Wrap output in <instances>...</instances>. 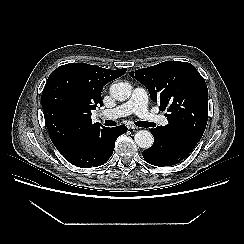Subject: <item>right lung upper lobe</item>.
I'll use <instances>...</instances> for the list:
<instances>
[{
    "mask_svg": "<svg viewBox=\"0 0 244 244\" xmlns=\"http://www.w3.org/2000/svg\"><path fill=\"white\" fill-rule=\"evenodd\" d=\"M126 70L69 63L50 74L41 104L50 138L59 152L73 142L94 138L107 128L92 124L91 111L102 105L103 86Z\"/></svg>",
    "mask_w": 244,
    "mask_h": 244,
    "instance_id": "1",
    "label": "right lung upper lobe"
}]
</instances>
